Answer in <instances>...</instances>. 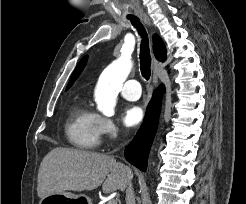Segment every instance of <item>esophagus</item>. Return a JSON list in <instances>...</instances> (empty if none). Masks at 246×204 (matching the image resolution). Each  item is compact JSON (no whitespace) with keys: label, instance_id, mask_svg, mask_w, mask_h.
<instances>
[{"label":"esophagus","instance_id":"esophagus-1","mask_svg":"<svg viewBox=\"0 0 246 204\" xmlns=\"http://www.w3.org/2000/svg\"><path fill=\"white\" fill-rule=\"evenodd\" d=\"M142 19L145 22V24L150 26V24H151L150 20H149V18L146 15H144L142 17ZM159 66H160V63L154 58V60H153V75H152V85H153V87H156L157 84H158V75L156 73V70H157V68Z\"/></svg>","mask_w":246,"mask_h":204}]
</instances>
